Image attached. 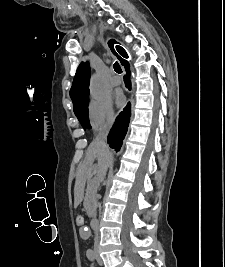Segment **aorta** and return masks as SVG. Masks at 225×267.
<instances>
[{"mask_svg": "<svg viewBox=\"0 0 225 267\" xmlns=\"http://www.w3.org/2000/svg\"><path fill=\"white\" fill-rule=\"evenodd\" d=\"M90 94L95 100H100L107 96V90L104 84L96 75L91 78Z\"/></svg>", "mask_w": 225, "mask_h": 267, "instance_id": "762f6f07", "label": "aorta"}]
</instances>
